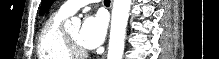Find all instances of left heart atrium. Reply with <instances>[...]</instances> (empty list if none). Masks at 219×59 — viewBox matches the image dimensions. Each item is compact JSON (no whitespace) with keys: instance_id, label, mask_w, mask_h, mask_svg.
<instances>
[{"instance_id":"39dd6f15","label":"left heart atrium","mask_w":219,"mask_h":59,"mask_svg":"<svg viewBox=\"0 0 219 59\" xmlns=\"http://www.w3.org/2000/svg\"><path fill=\"white\" fill-rule=\"evenodd\" d=\"M106 26V20L101 14L87 16L79 33L81 45L88 49L98 47L105 38Z\"/></svg>"}]
</instances>
